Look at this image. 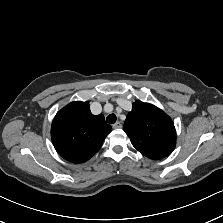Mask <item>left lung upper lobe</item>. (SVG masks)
<instances>
[{
    "label": "left lung upper lobe",
    "instance_id": "5c2ea615",
    "mask_svg": "<svg viewBox=\"0 0 223 223\" xmlns=\"http://www.w3.org/2000/svg\"><path fill=\"white\" fill-rule=\"evenodd\" d=\"M124 131L144 156L158 160L168 156L176 145L171 118L156 106L136 101L125 120Z\"/></svg>",
    "mask_w": 223,
    "mask_h": 223
}]
</instances>
